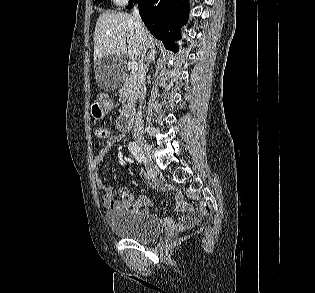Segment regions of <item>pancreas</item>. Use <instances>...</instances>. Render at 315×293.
<instances>
[{
	"mask_svg": "<svg viewBox=\"0 0 315 293\" xmlns=\"http://www.w3.org/2000/svg\"><path fill=\"white\" fill-rule=\"evenodd\" d=\"M119 94L123 101L121 114H129L133 110L138 97V81L135 75L132 74L126 79Z\"/></svg>",
	"mask_w": 315,
	"mask_h": 293,
	"instance_id": "pancreas-1",
	"label": "pancreas"
}]
</instances>
